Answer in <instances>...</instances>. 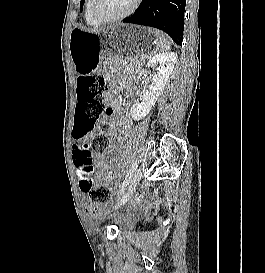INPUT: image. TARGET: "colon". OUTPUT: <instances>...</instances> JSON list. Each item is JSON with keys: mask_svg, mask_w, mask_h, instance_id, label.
I'll return each mask as SVG.
<instances>
[{"mask_svg": "<svg viewBox=\"0 0 265 273\" xmlns=\"http://www.w3.org/2000/svg\"><path fill=\"white\" fill-rule=\"evenodd\" d=\"M107 84L100 76L80 75L77 79V105L73 116V139H86L92 134L88 143L82 146V159H92L94 155H102L109 146V139L103 133L109 109L103 101ZM79 169L78 181L80 189L88 195L93 205L107 203L111 198V189L95 178V170L89 164Z\"/></svg>", "mask_w": 265, "mask_h": 273, "instance_id": "1", "label": "colon"}]
</instances>
